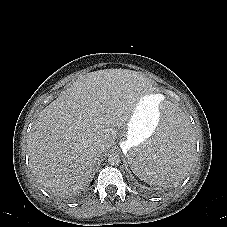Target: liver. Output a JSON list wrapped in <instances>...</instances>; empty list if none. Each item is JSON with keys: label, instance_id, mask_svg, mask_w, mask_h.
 <instances>
[{"label": "liver", "instance_id": "obj_1", "mask_svg": "<svg viewBox=\"0 0 227 227\" xmlns=\"http://www.w3.org/2000/svg\"><path fill=\"white\" fill-rule=\"evenodd\" d=\"M144 92L141 73L105 69L79 78L44 108L28 136L30 167L43 188L58 196L85 189ZM99 144L106 147L97 154Z\"/></svg>", "mask_w": 227, "mask_h": 227}]
</instances>
